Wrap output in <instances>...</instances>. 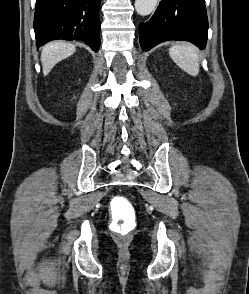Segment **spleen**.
<instances>
[{
	"label": "spleen",
	"instance_id": "spleen-1",
	"mask_svg": "<svg viewBox=\"0 0 249 294\" xmlns=\"http://www.w3.org/2000/svg\"><path fill=\"white\" fill-rule=\"evenodd\" d=\"M173 61L186 73L197 76L199 73V56L195 46L189 43L175 45L169 49Z\"/></svg>",
	"mask_w": 249,
	"mask_h": 294
}]
</instances>
